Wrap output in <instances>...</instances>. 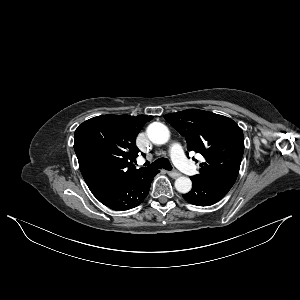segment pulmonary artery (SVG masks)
Returning <instances> with one entry per match:
<instances>
[{"label": "pulmonary artery", "mask_w": 300, "mask_h": 300, "mask_svg": "<svg viewBox=\"0 0 300 300\" xmlns=\"http://www.w3.org/2000/svg\"><path fill=\"white\" fill-rule=\"evenodd\" d=\"M169 154L178 168L188 175H195L198 172L197 166L189 161L180 144H172L169 148Z\"/></svg>", "instance_id": "1"}]
</instances>
